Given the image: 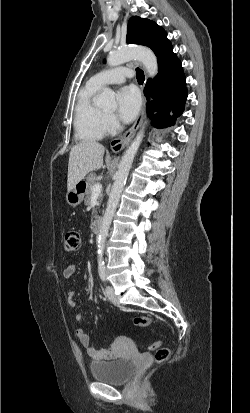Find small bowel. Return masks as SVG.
I'll list each match as a JSON object with an SVG mask.
<instances>
[{
  "mask_svg": "<svg viewBox=\"0 0 250 413\" xmlns=\"http://www.w3.org/2000/svg\"><path fill=\"white\" fill-rule=\"evenodd\" d=\"M76 271V266L74 264H70L66 266L62 272L63 277L68 279L73 276ZM76 295L75 290H71L68 292V303L71 307H76L78 302L74 299ZM84 315L82 313H77L75 319L79 322L82 321ZM76 335L81 343V345L86 349L87 354L95 361H102V360H111L114 359L122 344V338L116 337L114 338L111 346L107 349H97L91 344L89 334L82 328L76 330Z\"/></svg>",
  "mask_w": 250,
  "mask_h": 413,
  "instance_id": "small-bowel-1",
  "label": "small bowel"
}]
</instances>
